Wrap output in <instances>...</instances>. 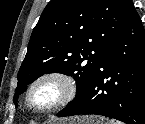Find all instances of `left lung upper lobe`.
I'll use <instances>...</instances> for the list:
<instances>
[{
    "label": "left lung upper lobe",
    "mask_w": 145,
    "mask_h": 124,
    "mask_svg": "<svg viewBox=\"0 0 145 124\" xmlns=\"http://www.w3.org/2000/svg\"><path fill=\"white\" fill-rule=\"evenodd\" d=\"M135 10L132 0H51L18 72L14 102L45 73L73 76L80 97Z\"/></svg>",
    "instance_id": "5c2ea615"
}]
</instances>
